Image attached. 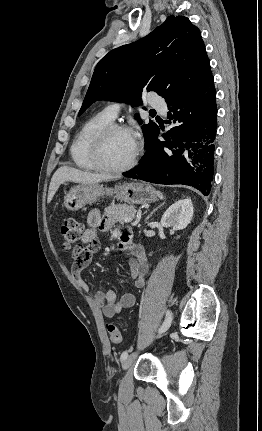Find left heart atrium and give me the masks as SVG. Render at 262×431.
Instances as JSON below:
<instances>
[{
  "label": "left heart atrium",
  "instance_id": "1",
  "mask_svg": "<svg viewBox=\"0 0 262 431\" xmlns=\"http://www.w3.org/2000/svg\"><path fill=\"white\" fill-rule=\"evenodd\" d=\"M132 136H133V139H134L135 144L137 145V135H136V134H134V133H132Z\"/></svg>",
  "mask_w": 262,
  "mask_h": 431
}]
</instances>
